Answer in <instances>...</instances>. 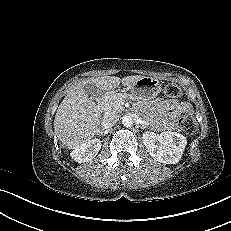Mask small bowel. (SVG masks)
Instances as JSON below:
<instances>
[{
    "label": "small bowel",
    "mask_w": 231,
    "mask_h": 231,
    "mask_svg": "<svg viewBox=\"0 0 231 231\" xmlns=\"http://www.w3.org/2000/svg\"><path fill=\"white\" fill-rule=\"evenodd\" d=\"M148 109L154 117L155 125L162 130H170L175 127L178 116L190 111V105L173 99H156L149 103Z\"/></svg>",
    "instance_id": "c3829d8e"
}]
</instances>
